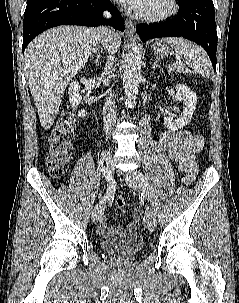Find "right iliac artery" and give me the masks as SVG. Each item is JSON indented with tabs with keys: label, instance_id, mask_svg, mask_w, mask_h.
I'll return each mask as SVG.
<instances>
[{
	"label": "right iliac artery",
	"instance_id": "82829eb1",
	"mask_svg": "<svg viewBox=\"0 0 239 303\" xmlns=\"http://www.w3.org/2000/svg\"><path fill=\"white\" fill-rule=\"evenodd\" d=\"M102 172L104 173V176L107 178V182H109V184H108V188H107L105 195L99 201V205L104 204L106 201L110 200L113 197V194L115 192V187H116L115 186L116 179L112 178L116 174L115 171H113V170L106 171V174H105V167H104V168H102Z\"/></svg>",
	"mask_w": 239,
	"mask_h": 303
}]
</instances>
